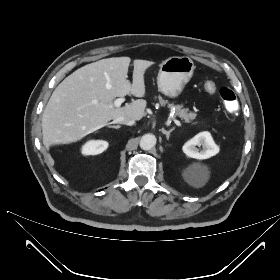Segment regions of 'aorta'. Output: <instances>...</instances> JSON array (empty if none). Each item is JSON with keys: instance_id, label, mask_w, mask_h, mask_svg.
<instances>
[{"instance_id": "aorta-1", "label": "aorta", "mask_w": 280, "mask_h": 280, "mask_svg": "<svg viewBox=\"0 0 280 280\" xmlns=\"http://www.w3.org/2000/svg\"><path fill=\"white\" fill-rule=\"evenodd\" d=\"M156 144V137L153 134H145L140 140V148L142 150H150Z\"/></svg>"}]
</instances>
